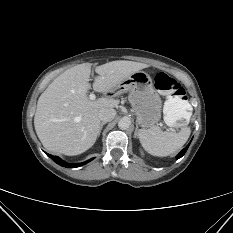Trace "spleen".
<instances>
[{"label":"spleen","mask_w":233,"mask_h":233,"mask_svg":"<svg viewBox=\"0 0 233 233\" xmlns=\"http://www.w3.org/2000/svg\"><path fill=\"white\" fill-rule=\"evenodd\" d=\"M192 106L188 101L169 98L163 107L164 120L173 126L177 120L184 119L186 123L178 133L162 132L158 127L141 129L138 138L144 149L154 156H168L177 152L188 140L190 128L187 127L192 115Z\"/></svg>","instance_id":"obj_1"}]
</instances>
